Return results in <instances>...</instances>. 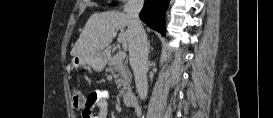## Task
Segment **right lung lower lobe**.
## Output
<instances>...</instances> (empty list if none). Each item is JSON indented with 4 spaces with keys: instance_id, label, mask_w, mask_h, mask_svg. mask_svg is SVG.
<instances>
[{
    "instance_id": "right-lung-lower-lobe-1",
    "label": "right lung lower lobe",
    "mask_w": 273,
    "mask_h": 118,
    "mask_svg": "<svg viewBox=\"0 0 273 118\" xmlns=\"http://www.w3.org/2000/svg\"><path fill=\"white\" fill-rule=\"evenodd\" d=\"M169 0H145L139 14L141 20L152 29L165 34L164 16Z\"/></svg>"
}]
</instances>
